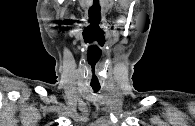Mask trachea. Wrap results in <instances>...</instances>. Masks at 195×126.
I'll use <instances>...</instances> for the list:
<instances>
[{
    "mask_svg": "<svg viewBox=\"0 0 195 126\" xmlns=\"http://www.w3.org/2000/svg\"><path fill=\"white\" fill-rule=\"evenodd\" d=\"M94 92H98L100 90L99 87H93Z\"/></svg>",
    "mask_w": 195,
    "mask_h": 126,
    "instance_id": "1",
    "label": "trachea"
}]
</instances>
